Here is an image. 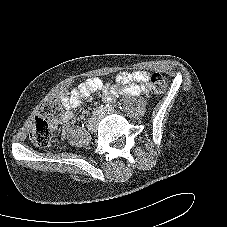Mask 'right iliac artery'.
Returning <instances> with one entry per match:
<instances>
[{"label": "right iliac artery", "mask_w": 227, "mask_h": 227, "mask_svg": "<svg viewBox=\"0 0 227 227\" xmlns=\"http://www.w3.org/2000/svg\"><path fill=\"white\" fill-rule=\"evenodd\" d=\"M104 113H105V107L103 105H101V106L97 107L96 109H94L92 114L95 117H101Z\"/></svg>", "instance_id": "right-iliac-artery-1"}]
</instances>
